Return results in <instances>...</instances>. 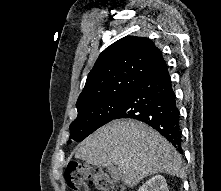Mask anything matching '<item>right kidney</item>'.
<instances>
[{
	"label": "right kidney",
	"mask_w": 221,
	"mask_h": 191,
	"mask_svg": "<svg viewBox=\"0 0 221 191\" xmlns=\"http://www.w3.org/2000/svg\"><path fill=\"white\" fill-rule=\"evenodd\" d=\"M138 191H169L166 179L161 175H156L146 181Z\"/></svg>",
	"instance_id": "right-kidney-1"
}]
</instances>
